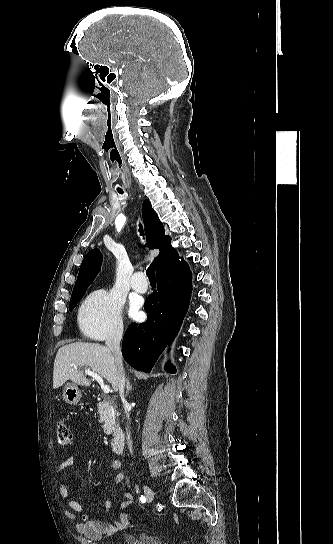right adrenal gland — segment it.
Returning a JSON list of instances; mask_svg holds the SVG:
<instances>
[{"instance_id": "obj_1", "label": "right adrenal gland", "mask_w": 333, "mask_h": 544, "mask_svg": "<svg viewBox=\"0 0 333 544\" xmlns=\"http://www.w3.org/2000/svg\"><path fill=\"white\" fill-rule=\"evenodd\" d=\"M132 386L130 385L129 379H126V395H128L129 391L131 390Z\"/></svg>"}]
</instances>
